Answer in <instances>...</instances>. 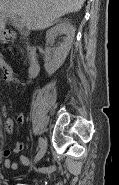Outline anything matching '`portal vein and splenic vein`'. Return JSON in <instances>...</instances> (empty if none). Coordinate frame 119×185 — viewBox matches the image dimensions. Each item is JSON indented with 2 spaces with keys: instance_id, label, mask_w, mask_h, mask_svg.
I'll return each instance as SVG.
<instances>
[{
  "instance_id": "1",
  "label": "portal vein and splenic vein",
  "mask_w": 119,
  "mask_h": 185,
  "mask_svg": "<svg viewBox=\"0 0 119 185\" xmlns=\"http://www.w3.org/2000/svg\"><path fill=\"white\" fill-rule=\"evenodd\" d=\"M3 15L10 17L11 20L14 21V24L18 29H23V27H24L23 21L20 20L15 14L7 13V14H3Z\"/></svg>"
}]
</instances>
